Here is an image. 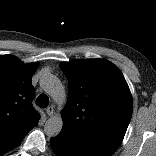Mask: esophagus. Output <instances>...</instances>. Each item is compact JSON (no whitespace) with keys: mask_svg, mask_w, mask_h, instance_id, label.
Instances as JSON below:
<instances>
[{"mask_svg":"<svg viewBox=\"0 0 156 156\" xmlns=\"http://www.w3.org/2000/svg\"><path fill=\"white\" fill-rule=\"evenodd\" d=\"M46 113H47L49 116H52V115L54 114V107H53V106L47 107Z\"/></svg>","mask_w":156,"mask_h":156,"instance_id":"1","label":"esophagus"}]
</instances>
